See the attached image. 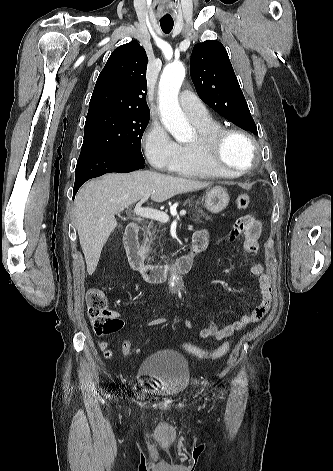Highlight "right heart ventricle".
I'll use <instances>...</instances> for the list:
<instances>
[{"label":"right heart ventricle","mask_w":333,"mask_h":471,"mask_svg":"<svg viewBox=\"0 0 333 471\" xmlns=\"http://www.w3.org/2000/svg\"><path fill=\"white\" fill-rule=\"evenodd\" d=\"M198 134L222 127L219 122L207 115L199 120H192ZM180 176L192 178L235 177L237 174L227 173L212 166L194 146L193 142L179 145V156L170 170Z\"/></svg>","instance_id":"1"}]
</instances>
